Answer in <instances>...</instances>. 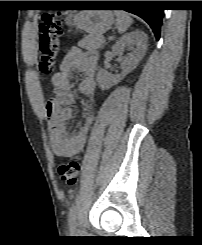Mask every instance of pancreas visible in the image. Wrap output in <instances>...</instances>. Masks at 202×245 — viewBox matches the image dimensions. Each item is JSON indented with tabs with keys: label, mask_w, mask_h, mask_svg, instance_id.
<instances>
[{
	"label": "pancreas",
	"mask_w": 202,
	"mask_h": 245,
	"mask_svg": "<svg viewBox=\"0 0 202 245\" xmlns=\"http://www.w3.org/2000/svg\"><path fill=\"white\" fill-rule=\"evenodd\" d=\"M104 44L102 36L89 35L78 42V46L86 50L101 48Z\"/></svg>",
	"instance_id": "cf45deb5"
}]
</instances>
